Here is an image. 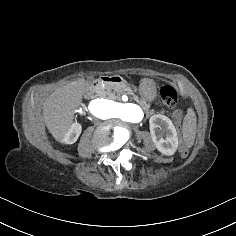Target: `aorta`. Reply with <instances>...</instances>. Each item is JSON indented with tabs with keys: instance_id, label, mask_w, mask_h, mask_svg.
<instances>
[{
	"instance_id": "obj_1",
	"label": "aorta",
	"mask_w": 236,
	"mask_h": 236,
	"mask_svg": "<svg viewBox=\"0 0 236 236\" xmlns=\"http://www.w3.org/2000/svg\"><path fill=\"white\" fill-rule=\"evenodd\" d=\"M89 112L100 119L118 118L124 122L140 123L144 117L141 107L132 103H118L105 99L91 100Z\"/></svg>"
}]
</instances>
